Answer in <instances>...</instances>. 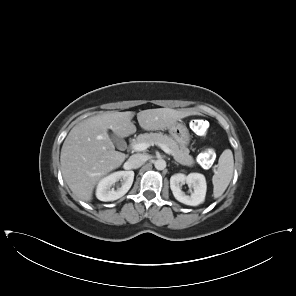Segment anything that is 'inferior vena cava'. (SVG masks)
Listing matches in <instances>:
<instances>
[{"mask_svg": "<svg viewBox=\"0 0 296 296\" xmlns=\"http://www.w3.org/2000/svg\"><path fill=\"white\" fill-rule=\"evenodd\" d=\"M145 161H146V158L144 155L134 154V155L130 156V158L126 162V166L129 169H136V168L141 167L145 163Z\"/></svg>", "mask_w": 296, "mask_h": 296, "instance_id": "1", "label": "inferior vena cava"}]
</instances>
